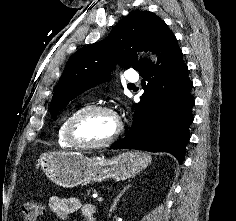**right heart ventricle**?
Here are the masks:
<instances>
[{
	"instance_id": "obj_1",
	"label": "right heart ventricle",
	"mask_w": 236,
	"mask_h": 221,
	"mask_svg": "<svg viewBox=\"0 0 236 221\" xmlns=\"http://www.w3.org/2000/svg\"><path fill=\"white\" fill-rule=\"evenodd\" d=\"M84 107H80L77 109H74L70 111L61 121L59 124L58 130H57V144L63 148V149H70L73 148V146L67 141L65 136L66 126L70 118L79 110H81Z\"/></svg>"
}]
</instances>
